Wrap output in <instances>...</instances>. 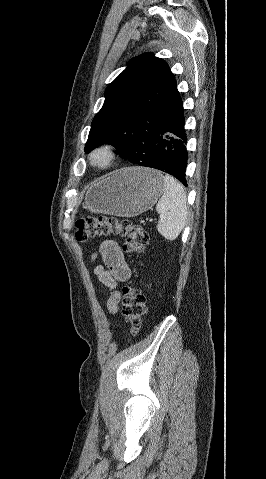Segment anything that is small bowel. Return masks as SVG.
I'll return each instance as SVG.
<instances>
[{
  "label": "small bowel",
  "instance_id": "small-bowel-1",
  "mask_svg": "<svg viewBox=\"0 0 266 479\" xmlns=\"http://www.w3.org/2000/svg\"><path fill=\"white\" fill-rule=\"evenodd\" d=\"M99 253L103 265L96 266L94 273L99 281L109 289L110 293L106 305L108 311L115 314L118 311L121 299V294L117 288L118 283L127 281L131 276V271L117 242L113 240L103 241L100 244Z\"/></svg>",
  "mask_w": 266,
  "mask_h": 479
}]
</instances>
